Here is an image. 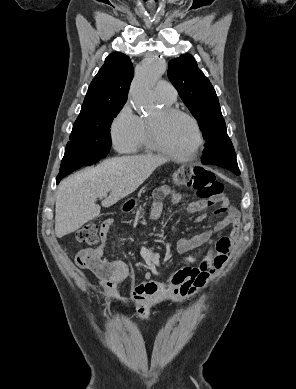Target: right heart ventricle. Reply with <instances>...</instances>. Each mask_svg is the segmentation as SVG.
<instances>
[{
  "instance_id": "obj_1",
  "label": "right heart ventricle",
  "mask_w": 296,
  "mask_h": 389,
  "mask_svg": "<svg viewBox=\"0 0 296 389\" xmlns=\"http://www.w3.org/2000/svg\"><path fill=\"white\" fill-rule=\"evenodd\" d=\"M163 102L166 104V105H171L173 102H167V101H164ZM141 122H142V129H141V134H140V137H139V141H138V144H137V147L136 149L134 150L135 152H148L151 149L149 143H148V138H147V129H146V122L144 120L141 119Z\"/></svg>"
}]
</instances>
